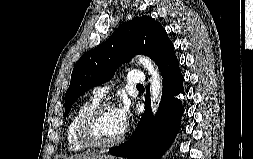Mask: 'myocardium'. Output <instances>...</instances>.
I'll return each mask as SVG.
<instances>
[{"label":"myocardium","mask_w":253,"mask_h":159,"mask_svg":"<svg viewBox=\"0 0 253 159\" xmlns=\"http://www.w3.org/2000/svg\"><path fill=\"white\" fill-rule=\"evenodd\" d=\"M113 108L115 109V105L109 101H102L96 104L93 108H91L88 113L84 116L80 127H79V139L83 145L87 148H108L113 147L120 144L125 136L126 129L115 139L110 141H100L94 131V126L99 115L106 109Z\"/></svg>","instance_id":"f54148a6"}]
</instances>
